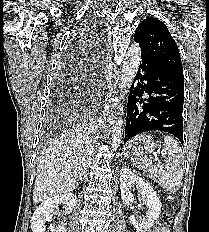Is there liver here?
I'll use <instances>...</instances> for the list:
<instances>
[{"mask_svg": "<svg viewBox=\"0 0 209 232\" xmlns=\"http://www.w3.org/2000/svg\"><path fill=\"white\" fill-rule=\"evenodd\" d=\"M91 124H82L51 140L38 157L35 204L73 191L90 166Z\"/></svg>", "mask_w": 209, "mask_h": 232, "instance_id": "6515ba94", "label": "liver"}]
</instances>
